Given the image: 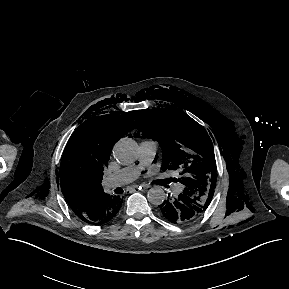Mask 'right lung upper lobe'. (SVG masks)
<instances>
[{
	"label": "right lung upper lobe",
	"instance_id": "1",
	"mask_svg": "<svg viewBox=\"0 0 289 289\" xmlns=\"http://www.w3.org/2000/svg\"><path fill=\"white\" fill-rule=\"evenodd\" d=\"M129 114L113 112L90 118L69 139L57 173L65 200L76 215L89 210L105 194L101 182L112 145L135 128Z\"/></svg>",
	"mask_w": 289,
	"mask_h": 289
}]
</instances>
